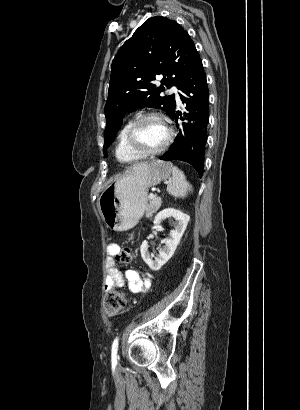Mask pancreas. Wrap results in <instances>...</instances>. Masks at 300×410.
I'll use <instances>...</instances> for the list:
<instances>
[{
  "mask_svg": "<svg viewBox=\"0 0 300 410\" xmlns=\"http://www.w3.org/2000/svg\"><path fill=\"white\" fill-rule=\"evenodd\" d=\"M161 206V199L160 198H155L153 200H150V202L146 205L145 207V217L150 218L153 216V214L160 208Z\"/></svg>",
  "mask_w": 300,
  "mask_h": 410,
  "instance_id": "pancreas-1",
  "label": "pancreas"
}]
</instances>
